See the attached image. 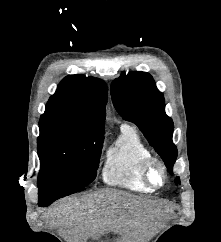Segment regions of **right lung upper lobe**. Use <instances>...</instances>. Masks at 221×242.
<instances>
[{
    "instance_id": "cb5924a9",
    "label": "right lung upper lobe",
    "mask_w": 221,
    "mask_h": 242,
    "mask_svg": "<svg viewBox=\"0 0 221 242\" xmlns=\"http://www.w3.org/2000/svg\"><path fill=\"white\" fill-rule=\"evenodd\" d=\"M106 103L107 87L102 80L69 75L49 99L39 128H71L103 136Z\"/></svg>"
}]
</instances>
